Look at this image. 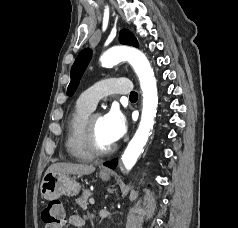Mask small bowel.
<instances>
[{
	"label": "small bowel",
	"mask_w": 238,
	"mask_h": 228,
	"mask_svg": "<svg viewBox=\"0 0 238 228\" xmlns=\"http://www.w3.org/2000/svg\"><path fill=\"white\" fill-rule=\"evenodd\" d=\"M69 224L74 228H83L85 225V217L80 214H73L69 217ZM45 228H63V224L45 225Z\"/></svg>",
	"instance_id": "obj_1"
}]
</instances>
